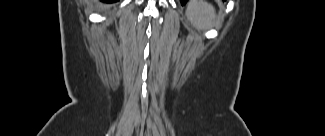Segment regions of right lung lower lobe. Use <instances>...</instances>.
<instances>
[{"label":"right lung lower lobe","mask_w":325,"mask_h":136,"mask_svg":"<svg viewBox=\"0 0 325 136\" xmlns=\"http://www.w3.org/2000/svg\"><path fill=\"white\" fill-rule=\"evenodd\" d=\"M103 1L107 3H112V2H116L117 0H103Z\"/></svg>","instance_id":"right-lung-lower-lobe-1"}]
</instances>
